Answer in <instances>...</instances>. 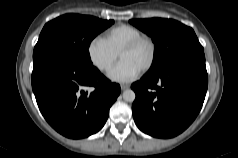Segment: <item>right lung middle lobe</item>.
<instances>
[{
    "mask_svg": "<svg viewBox=\"0 0 238 158\" xmlns=\"http://www.w3.org/2000/svg\"><path fill=\"white\" fill-rule=\"evenodd\" d=\"M113 23V20H101L93 16L62 15L44 26L33 57L46 50H56L80 64L93 66L88 51L90 43Z\"/></svg>",
    "mask_w": 238,
    "mask_h": 158,
    "instance_id": "1",
    "label": "right lung middle lobe"
}]
</instances>
